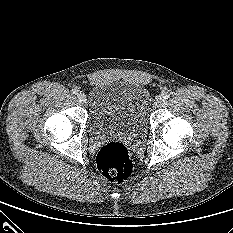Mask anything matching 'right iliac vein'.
Returning <instances> with one entry per match:
<instances>
[{"label": "right iliac vein", "instance_id": "1", "mask_svg": "<svg viewBox=\"0 0 233 233\" xmlns=\"http://www.w3.org/2000/svg\"><path fill=\"white\" fill-rule=\"evenodd\" d=\"M77 98L79 102L84 103L86 101V95L83 92H79L77 94Z\"/></svg>", "mask_w": 233, "mask_h": 233}]
</instances>
